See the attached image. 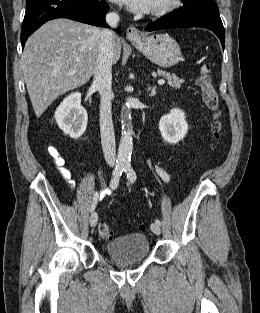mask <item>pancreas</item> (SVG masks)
Here are the masks:
<instances>
[{
    "instance_id": "pancreas-1",
    "label": "pancreas",
    "mask_w": 260,
    "mask_h": 313,
    "mask_svg": "<svg viewBox=\"0 0 260 313\" xmlns=\"http://www.w3.org/2000/svg\"><path fill=\"white\" fill-rule=\"evenodd\" d=\"M158 74L160 76H163L167 79L169 86L175 89H179L181 87V84L184 82L182 79H179L176 75L170 74L166 71H162L158 69Z\"/></svg>"
}]
</instances>
